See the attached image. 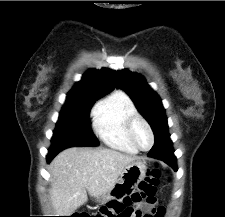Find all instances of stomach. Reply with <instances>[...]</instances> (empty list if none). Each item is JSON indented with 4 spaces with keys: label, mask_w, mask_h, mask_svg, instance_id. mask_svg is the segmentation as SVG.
Segmentation results:
<instances>
[{
    "label": "stomach",
    "mask_w": 225,
    "mask_h": 217,
    "mask_svg": "<svg viewBox=\"0 0 225 217\" xmlns=\"http://www.w3.org/2000/svg\"><path fill=\"white\" fill-rule=\"evenodd\" d=\"M146 172V165L142 161L137 160L126 165L115 186L107 193L97 197L96 201L100 204H105L113 199L116 189L137 186L146 177Z\"/></svg>",
    "instance_id": "stomach-1"
}]
</instances>
